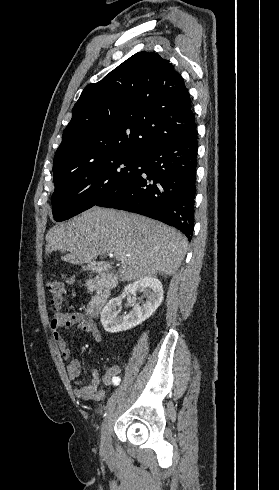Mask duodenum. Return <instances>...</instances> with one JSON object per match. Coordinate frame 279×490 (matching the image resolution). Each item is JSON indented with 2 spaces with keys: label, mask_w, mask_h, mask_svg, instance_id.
Returning <instances> with one entry per match:
<instances>
[{
  "label": "duodenum",
  "mask_w": 279,
  "mask_h": 490,
  "mask_svg": "<svg viewBox=\"0 0 279 490\" xmlns=\"http://www.w3.org/2000/svg\"><path fill=\"white\" fill-rule=\"evenodd\" d=\"M88 268L99 275V288L96 294L91 298L87 307L86 315L89 317L97 316L109 300L111 293L117 286V278L111 272L110 266L106 262H91Z\"/></svg>",
  "instance_id": "1"
}]
</instances>
